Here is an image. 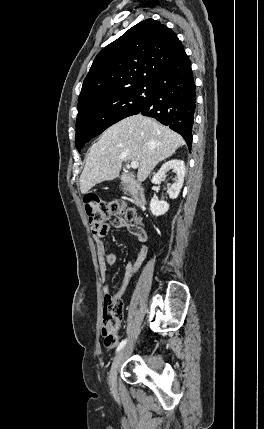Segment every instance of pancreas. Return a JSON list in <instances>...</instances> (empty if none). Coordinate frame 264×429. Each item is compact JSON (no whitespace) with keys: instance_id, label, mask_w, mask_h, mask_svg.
<instances>
[{"instance_id":"cf45deb5","label":"pancreas","mask_w":264,"mask_h":429,"mask_svg":"<svg viewBox=\"0 0 264 429\" xmlns=\"http://www.w3.org/2000/svg\"><path fill=\"white\" fill-rule=\"evenodd\" d=\"M124 190H125V191H127L128 189H127V188H125Z\"/></svg>"}]
</instances>
